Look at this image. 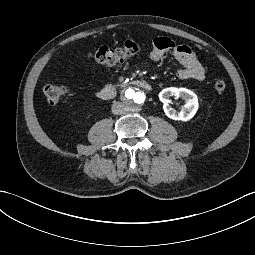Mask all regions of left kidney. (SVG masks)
<instances>
[{"label":"left kidney","mask_w":255,"mask_h":255,"mask_svg":"<svg viewBox=\"0 0 255 255\" xmlns=\"http://www.w3.org/2000/svg\"><path fill=\"white\" fill-rule=\"evenodd\" d=\"M175 96L176 99L181 98L185 101L180 112H176L169 104L171 103L170 97ZM159 99L163 103V109L167 117L173 120H190L198 110L197 95L186 88L169 87L163 89L159 93Z\"/></svg>","instance_id":"5707ae66"}]
</instances>
